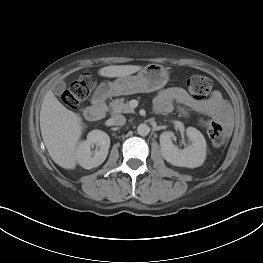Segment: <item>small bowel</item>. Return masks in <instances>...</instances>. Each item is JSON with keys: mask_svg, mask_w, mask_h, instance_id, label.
<instances>
[{"mask_svg": "<svg viewBox=\"0 0 263 263\" xmlns=\"http://www.w3.org/2000/svg\"><path fill=\"white\" fill-rule=\"evenodd\" d=\"M178 106L182 114L184 108L198 113L229 120V106L219 91H213L206 99L191 96L181 87H169L159 91L154 98V108L159 113H170Z\"/></svg>", "mask_w": 263, "mask_h": 263, "instance_id": "c3829d8e", "label": "small bowel"}]
</instances>
